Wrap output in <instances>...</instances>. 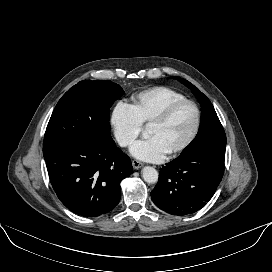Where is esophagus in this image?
Masks as SVG:
<instances>
[{
    "label": "esophagus",
    "mask_w": 272,
    "mask_h": 272,
    "mask_svg": "<svg viewBox=\"0 0 272 272\" xmlns=\"http://www.w3.org/2000/svg\"><path fill=\"white\" fill-rule=\"evenodd\" d=\"M132 166L134 167V169H139L143 166V164L137 160H132Z\"/></svg>",
    "instance_id": "34e87169"
}]
</instances>
